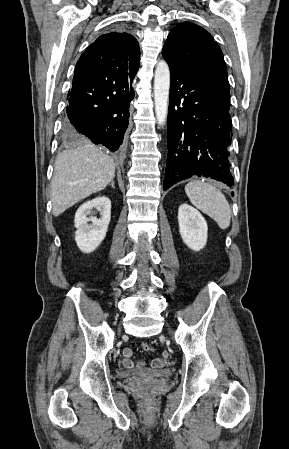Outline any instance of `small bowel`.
I'll use <instances>...</instances> for the list:
<instances>
[{"label": "small bowel", "mask_w": 289, "mask_h": 449, "mask_svg": "<svg viewBox=\"0 0 289 449\" xmlns=\"http://www.w3.org/2000/svg\"><path fill=\"white\" fill-rule=\"evenodd\" d=\"M161 357L156 358L151 362L152 368H161L164 369L167 366V362L170 360V355L167 351L161 352ZM132 350L130 348H126L123 351V360H122V366L126 369H141L144 367L145 363L143 361H140L138 363H135L132 358Z\"/></svg>", "instance_id": "obj_1"}]
</instances>
